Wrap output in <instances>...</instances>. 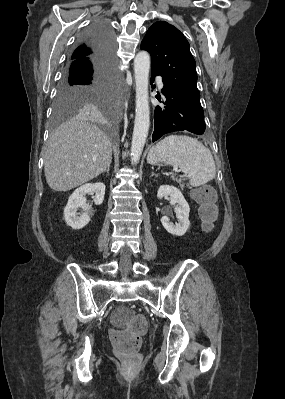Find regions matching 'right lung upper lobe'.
<instances>
[{"label": "right lung upper lobe", "instance_id": "right-lung-upper-lobe-1", "mask_svg": "<svg viewBox=\"0 0 285 399\" xmlns=\"http://www.w3.org/2000/svg\"><path fill=\"white\" fill-rule=\"evenodd\" d=\"M94 54V49L87 42H81L72 53L70 60H79L90 57Z\"/></svg>", "mask_w": 285, "mask_h": 399}]
</instances>
